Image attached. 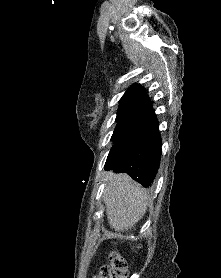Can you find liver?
<instances>
[{"label": "liver", "instance_id": "obj_1", "mask_svg": "<svg viewBox=\"0 0 221 278\" xmlns=\"http://www.w3.org/2000/svg\"><path fill=\"white\" fill-rule=\"evenodd\" d=\"M105 181L103 200L108 223L117 232L127 231L145 215L149 195L127 174L109 172Z\"/></svg>", "mask_w": 221, "mask_h": 278}]
</instances>
